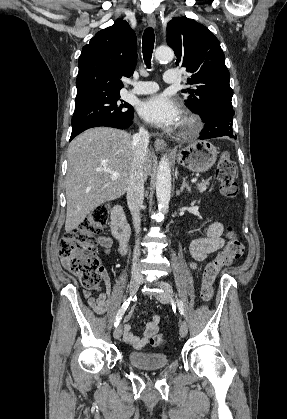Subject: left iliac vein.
I'll use <instances>...</instances> for the list:
<instances>
[{"label": "left iliac vein", "mask_w": 287, "mask_h": 419, "mask_svg": "<svg viewBox=\"0 0 287 419\" xmlns=\"http://www.w3.org/2000/svg\"><path fill=\"white\" fill-rule=\"evenodd\" d=\"M158 286L163 289L161 293L156 294L157 299L163 303L168 304L171 302L170 294L172 292L171 286L167 282L159 281ZM180 336L185 337L188 333V326L185 321H182L180 324L179 330Z\"/></svg>", "instance_id": "obj_1"}]
</instances>
